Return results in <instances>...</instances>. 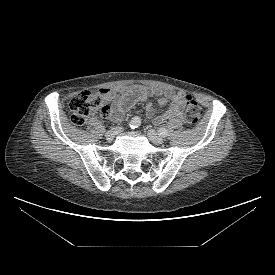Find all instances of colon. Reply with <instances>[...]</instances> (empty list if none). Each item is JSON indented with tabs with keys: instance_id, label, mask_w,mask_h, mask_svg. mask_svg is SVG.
Masks as SVG:
<instances>
[{
	"instance_id": "colon-1",
	"label": "colon",
	"mask_w": 275,
	"mask_h": 275,
	"mask_svg": "<svg viewBox=\"0 0 275 275\" xmlns=\"http://www.w3.org/2000/svg\"><path fill=\"white\" fill-rule=\"evenodd\" d=\"M184 103L187 123L191 125L197 124L202 115L201 107L190 95L184 96ZM106 107V101L101 93L82 91L76 94L69 102L71 121L76 126H82L90 114L98 110L103 111Z\"/></svg>"
}]
</instances>
